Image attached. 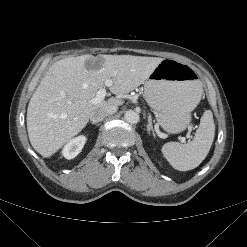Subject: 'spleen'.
Returning a JSON list of instances; mask_svg holds the SVG:
<instances>
[{"label": "spleen", "instance_id": "spleen-1", "mask_svg": "<svg viewBox=\"0 0 247 247\" xmlns=\"http://www.w3.org/2000/svg\"><path fill=\"white\" fill-rule=\"evenodd\" d=\"M215 136L213 114L206 110L201 117L195 137L187 144L168 142L163 145L162 153L173 168L188 171L198 167L206 158Z\"/></svg>", "mask_w": 247, "mask_h": 247}]
</instances>
